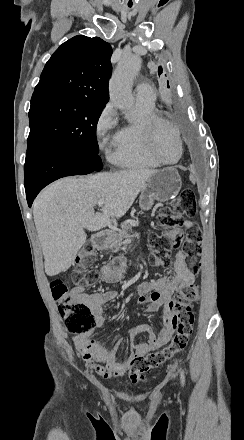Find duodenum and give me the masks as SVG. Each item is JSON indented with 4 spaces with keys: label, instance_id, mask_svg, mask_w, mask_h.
<instances>
[{
    "label": "duodenum",
    "instance_id": "410a0bca",
    "mask_svg": "<svg viewBox=\"0 0 244 440\" xmlns=\"http://www.w3.org/2000/svg\"><path fill=\"white\" fill-rule=\"evenodd\" d=\"M106 239L107 233H96L92 236L91 242L95 248L102 250L106 248Z\"/></svg>",
    "mask_w": 244,
    "mask_h": 440
}]
</instances>
